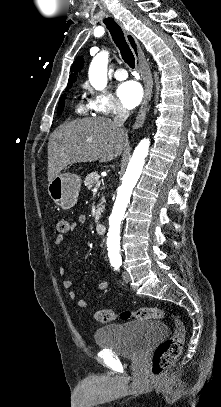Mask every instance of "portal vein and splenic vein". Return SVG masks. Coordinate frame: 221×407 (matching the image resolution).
<instances>
[{
  "instance_id": "18ae733b",
  "label": "portal vein and splenic vein",
  "mask_w": 221,
  "mask_h": 407,
  "mask_svg": "<svg viewBox=\"0 0 221 407\" xmlns=\"http://www.w3.org/2000/svg\"><path fill=\"white\" fill-rule=\"evenodd\" d=\"M100 185H101V181H97V182H96V185H95V189L99 188Z\"/></svg>"
}]
</instances>
